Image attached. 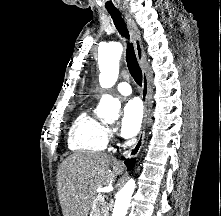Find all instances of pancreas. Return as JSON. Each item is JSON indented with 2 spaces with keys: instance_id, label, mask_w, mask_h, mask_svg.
Here are the masks:
<instances>
[{
  "instance_id": "1",
  "label": "pancreas",
  "mask_w": 221,
  "mask_h": 216,
  "mask_svg": "<svg viewBox=\"0 0 221 216\" xmlns=\"http://www.w3.org/2000/svg\"><path fill=\"white\" fill-rule=\"evenodd\" d=\"M90 216H109V207L103 203L101 196L94 197Z\"/></svg>"
}]
</instances>
